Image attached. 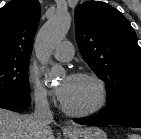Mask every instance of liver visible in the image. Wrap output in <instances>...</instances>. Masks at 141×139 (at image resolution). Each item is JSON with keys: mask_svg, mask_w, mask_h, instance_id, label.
<instances>
[{"mask_svg": "<svg viewBox=\"0 0 141 139\" xmlns=\"http://www.w3.org/2000/svg\"><path fill=\"white\" fill-rule=\"evenodd\" d=\"M0 139H54V136L51 128L38 136L32 114L22 115L0 108Z\"/></svg>", "mask_w": 141, "mask_h": 139, "instance_id": "obj_1", "label": "liver"}]
</instances>
